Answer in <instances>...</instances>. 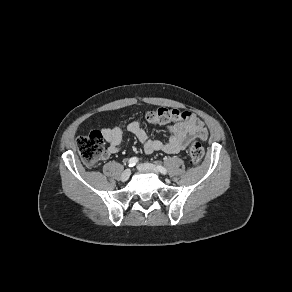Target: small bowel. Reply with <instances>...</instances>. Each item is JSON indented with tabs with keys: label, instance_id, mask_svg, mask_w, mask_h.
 <instances>
[{
	"label": "small bowel",
	"instance_id": "1",
	"mask_svg": "<svg viewBox=\"0 0 292 292\" xmlns=\"http://www.w3.org/2000/svg\"><path fill=\"white\" fill-rule=\"evenodd\" d=\"M155 123L166 125L169 132L167 140L150 138L138 120L127 125V130L142 143L146 154H152L156 151L174 154L185 149L193 139L206 140L208 137L204 123L191 112H182V115L176 120ZM102 135L108 143L104 157L107 158L118 153L123 142L122 129L119 126L104 128Z\"/></svg>",
	"mask_w": 292,
	"mask_h": 292
}]
</instances>
